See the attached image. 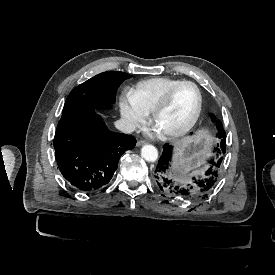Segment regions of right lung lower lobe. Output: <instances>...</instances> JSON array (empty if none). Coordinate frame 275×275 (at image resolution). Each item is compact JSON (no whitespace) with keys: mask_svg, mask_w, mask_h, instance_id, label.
I'll return each instance as SVG.
<instances>
[{"mask_svg":"<svg viewBox=\"0 0 275 275\" xmlns=\"http://www.w3.org/2000/svg\"><path fill=\"white\" fill-rule=\"evenodd\" d=\"M53 143L64 178L78 190L93 192L109 183L136 139L109 131L94 110L71 109L62 112Z\"/></svg>","mask_w":275,"mask_h":275,"instance_id":"1","label":"right lung lower lobe"}]
</instances>
